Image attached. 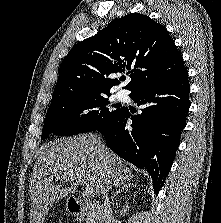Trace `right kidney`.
I'll use <instances>...</instances> for the list:
<instances>
[{
    "label": "right kidney",
    "instance_id": "right-kidney-1",
    "mask_svg": "<svg viewBox=\"0 0 221 223\" xmlns=\"http://www.w3.org/2000/svg\"><path fill=\"white\" fill-rule=\"evenodd\" d=\"M127 210H129V206L128 203L126 204V206H124L123 210L121 211V214H124L127 212Z\"/></svg>",
    "mask_w": 221,
    "mask_h": 223
}]
</instances>
